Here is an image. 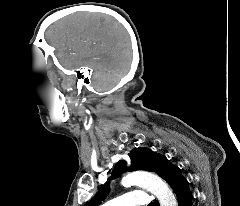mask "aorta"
I'll return each mask as SVG.
<instances>
[{"instance_id": "aorta-1", "label": "aorta", "mask_w": 240, "mask_h": 206, "mask_svg": "<svg viewBox=\"0 0 240 206\" xmlns=\"http://www.w3.org/2000/svg\"><path fill=\"white\" fill-rule=\"evenodd\" d=\"M123 186H142L155 195L160 206H177V199L168 185L157 175L149 172H133L122 179Z\"/></svg>"}]
</instances>
